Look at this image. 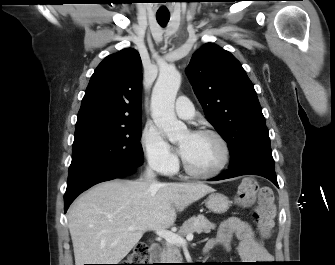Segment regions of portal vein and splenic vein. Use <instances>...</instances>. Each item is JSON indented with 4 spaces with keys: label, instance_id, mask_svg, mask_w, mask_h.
Here are the masks:
<instances>
[{
    "label": "portal vein and splenic vein",
    "instance_id": "obj_1",
    "mask_svg": "<svg viewBox=\"0 0 335 265\" xmlns=\"http://www.w3.org/2000/svg\"><path fill=\"white\" fill-rule=\"evenodd\" d=\"M127 230L133 231L134 227H129ZM155 231H156V234L158 236L164 238L167 242L172 243V244L186 245L187 241H192L193 240V233H189L186 236V239H184L180 235H178L176 233H173L169 230L156 228Z\"/></svg>",
    "mask_w": 335,
    "mask_h": 265
}]
</instances>
